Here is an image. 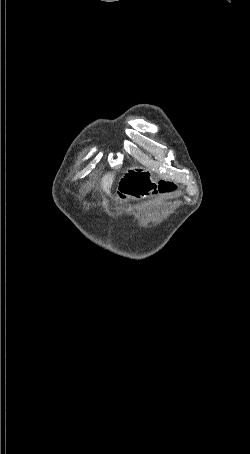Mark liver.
<instances>
[{"label":"liver","instance_id":"6515ba94","mask_svg":"<svg viewBox=\"0 0 250 454\" xmlns=\"http://www.w3.org/2000/svg\"><path fill=\"white\" fill-rule=\"evenodd\" d=\"M113 180H114L113 173H107L106 175L103 176L101 186L106 193H109Z\"/></svg>","mask_w":250,"mask_h":454}]
</instances>
